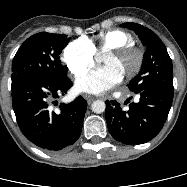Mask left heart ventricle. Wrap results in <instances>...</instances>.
Listing matches in <instances>:
<instances>
[{"label":"left heart ventricle","instance_id":"b2bd125f","mask_svg":"<svg viewBox=\"0 0 187 187\" xmlns=\"http://www.w3.org/2000/svg\"><path fill=\"white\" fill-rule=\"evenodd\" d=\"M136 61V56L133 53L126 54L122 57H113L105 55L103 57L104 66L112 67L117 70L122 76L129 72Z\"/></svg>","mask_w":187,"mask_h":187}]
</instances>
